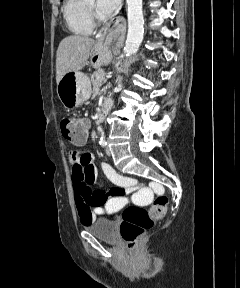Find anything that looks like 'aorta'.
<instances>
[{
	"mask_svg": "<svg viewBox=\"0 0 240 288\" xmlns=\"http://www.w3.org/2000/svg\"><path fill=\"white\" fill-rule=\"evenodd\" d=\"M128 17V34L124 47L126 57L134 55L143 40L144 18L142 0H126ZM104 138L102 134L101 139Z\"/></svg>",
	"mask_w": 240,
	"mask_h": 288,
	"instance_id": "obj_1",
	"label": "aorta"
}]
</instances>
